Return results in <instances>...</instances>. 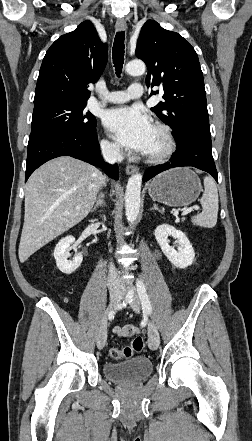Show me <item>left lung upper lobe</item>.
I'll return each mask as SVG.
<instances>
[{
	"label": "left lung upper lobe",
	"mask_w": 252,
	"mask_h": 441,
	"mask_svg": "<svg viewBox=\"0 0 252 441\" xmlns=\"http://www.w3.org/2000/svg\"><path fill=\"white\" fill-rule=\"evenodd\" d=\"M135 53L147 65V86H159L164 91L165 102L151 110L172 128L174 138L179 139L194 126L209 128L203 73L190 43L148 20L141 29ZM156 93L159 91H151Z\"/></svg>",
	"instance_id": "obj_1"
}]
</instances>
